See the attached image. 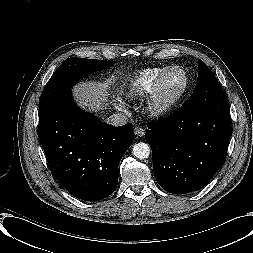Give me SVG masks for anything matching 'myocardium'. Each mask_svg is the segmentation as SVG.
Returning <instances> with one entry per match:
<instances>
[{
    "label": "myocardium",
    "instance_id": "1",
    "mask_svg": "<svg viewBox=\"0 0 253 253\" xmlns=\"http://www.w3.org/2000/svg\"><path fill=\"white\" fill-rule=\"evenodd\" d=\"M180 71L184 77V83L181 90L169 101H162L159 98V92L164 79L173 71ZM189 88V77L187 72L180 66H172L163 71L155 80L152 87L148 91L144 100V113L152 118H161L176 109L184 98Z\"/></svg>",
    "mask_w": 253,
    "mask_h": 253
}]
</instances>
